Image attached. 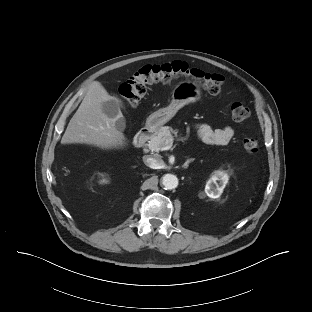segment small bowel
<instances>
[{
  "label": "small bowel",
  "instance_id": "small-bowel-1",
  "mask_svg": "<svg viewBox=\"0 0 312 312\" xmlns=\"http://www.w3.org/2000/svg\"><path fill=\"white\" fill-rule=\"evenodd\" d=\"M199 137L211 145H226L234 136V129L231 126H225L219 129H212L206 124H197L195 126Z\"/></svg>",
  "mask_w": 312,
  "mask_h": 312
}]
</instances>
